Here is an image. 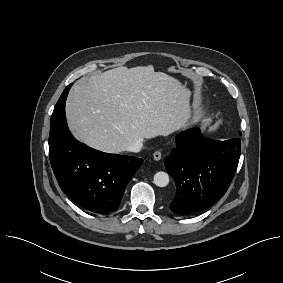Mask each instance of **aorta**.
Here are the masks:
<instances>
[{"label":"aorta","instance_id":"aorta-1","mask_svg":"<svg viewBox=\"0 0 283 283\" xmlns=\"http://www.w3.org/2000/svg\"><path fill=\"white\" fill-rule=\"evenodd\" d=\"M154 184L158 187H166L169 184V175L166 172H157L154 175Z\"/></svg>","mask_w":283,"mask_h":283}]
</instances>
